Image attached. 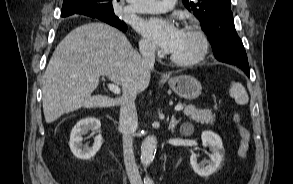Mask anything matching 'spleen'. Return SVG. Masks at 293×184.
Masks as SVG:
<instances>
[{
    "mask_svg": "<svg viewBox=\"0 0 293 184\" xmlns=\"http://www.w3.org/2000/svg\"><path fill=\"white\" fill-rule=\"evenodd\" d=\"M229 94L232 98L235 99V102L239 105H245L249 101V97L245 88L239 82L231 83Z\"/></svg>",
    "mask_w": 293,
    "mask_h": 184,
    "instance_id": "1",
    "label": "spleen"
}]
</instances>
